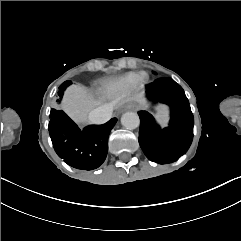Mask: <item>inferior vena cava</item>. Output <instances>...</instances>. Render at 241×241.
Masks as SVG:
<instances>
[{"label": "inferior vena cava", "instance_id": "602c4592", "mask_svg": "<svg viewBox=\"0 0 241 241\" xmlns=\"http://www.w3.org/2000/svg\"><path fill=\"white\" fill-rule=\"evenodd\" d=\"M113 112V105L107 104L99 106L93 109L89 114V119L91 123L103 124L111 119Z\"/></svg>", "mask_w": 241, "mask_h": 241}]
</instances>
